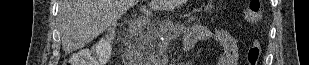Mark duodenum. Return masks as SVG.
<instances>
[{"instance_id":"410a0bca","label":"duodenum","mask_w":309,"mask_h":65,"mask_svg":"<svg viewBox=\"0 0 309 65\" xmlns=\"http://www.w3.org/2000/svg\"><path fill=\"white\" fill-rule=\"evenodd\" d=\"M148 17H141L138 19L133 20L126 29V39L130 40L138 35L149 23Z\"/></svg>"}]
</instances>
